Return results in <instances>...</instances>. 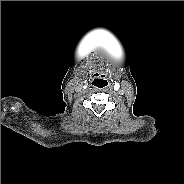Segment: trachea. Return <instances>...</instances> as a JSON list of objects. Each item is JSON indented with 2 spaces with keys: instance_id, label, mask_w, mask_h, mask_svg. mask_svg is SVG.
Here are the masks:
<instances>
[{
  "instance_id": "1",
  "label": "trachea",
  "mask_w": 184,
  "mask_h": 184,
  "mask_svg": "<svg viewBox=\"0 0 184 184\" xmlns=\"http://www.w3.org/2000/svg\"><path fill=\"white\" fill-rule=\"evenodd\" d=\"M92 85L98 89H102L108 85V82L105 78H96L92 81Z\"/></svg>"
}]
</instances>
